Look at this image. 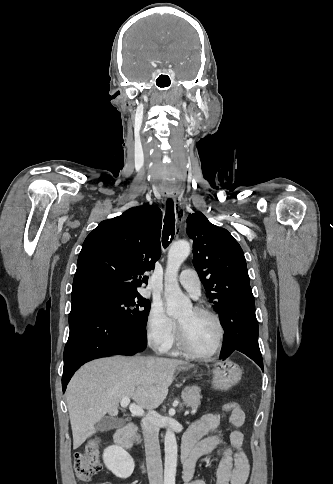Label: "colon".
Masks as SVG:
<instances>
[{
	"label": "colon",
	"instance_id": "5ec220e1",
	"mask_svg": "<svg viewBox=\"0 0 333 484\" xmlns=\"http://www.w3.org/2000/svg\"><path fill=\"white\" fill-rule=\"evenodd\" d=\"M238 408L240 406L237 402H228L223 406L222 411L229 413ZM99 447V440L92 439L87 443L84 451L75 453L74 470L79 480L91 481L100 471Z\"/></svg>",
	"mask_w": 333,
	"mask_h": 484
}]
</instances>
